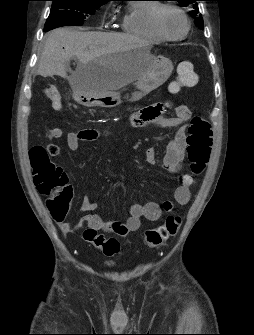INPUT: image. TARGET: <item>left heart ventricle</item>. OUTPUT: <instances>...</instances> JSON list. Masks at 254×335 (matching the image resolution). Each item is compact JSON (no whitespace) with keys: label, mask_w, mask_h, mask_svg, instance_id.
Returning a JSON list of instances; mask_svg holds the SVG:
<instances>
[{"label":"left heart ventricle","mask_w":254,"mask_h":335,"mask_svg":"<svg viewBox=\"0 0 254 335\" xmlns=\"http://www.w3.org/2000/svg\"><path fill=\"white\" fill-rule=\"evenodd\" d=\"M160 25L163 32L171 37L180 36L185 30V22L181 15L170 9L161 13Z\"/></svg>","instance_id":"1"}]
</instances>
